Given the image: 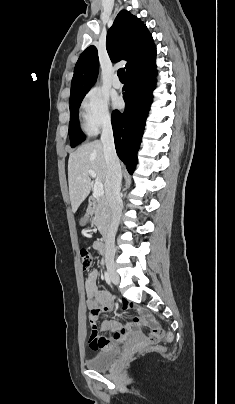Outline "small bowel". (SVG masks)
Masks as SVG:
<instances>
[{"label": "small bowel", "mask_w": 235, "mask_h": 404, "mask_svg": "<svg viewBox=\"0 0 235 404\" xmlns=\"http://www.w3.org/2000/svg\"><path fill=\"white\" fill-rule=\"evenodd\" d=\"M95 250L102 252L103 246L101 242L96 241L93 244ZM99 271L97 269L92 270L85 282V291L87 295V307L90 315L94 314L95 318L101 312H111L114 309V301L110 293L107 291L99 290L98 288ZM122 308L124 310H132L133 306L128 301L122 302ZM137 318H144L145 311L140 308H135ZM102 331H111L113 333L111 338L105 336H99L98 330L96 339L103 338L104 342L97 344L95 338L90 334V345L93 349L99 350L102 347H108L110 345H117L122 343L129 333L132 332L130 325H123L116 320H106L101 325Z\"/></svg>", "instance_id": "small-bowel-1"}]
</instances>
